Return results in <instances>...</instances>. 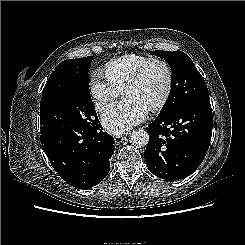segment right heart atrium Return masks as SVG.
Returning a JSON list of instances; mask_svg holds the SVG:
<instances>
[{
	"label": "right heart atrium",
	"instance_id": "1",
	"mask_svg": "<svg viewBox=\"0 0 245 245\" xmlns=\"http://www.w3.org/2000/svg\"><path fill=\"white\" fill-rule=\"evenodd\" d=\"M89 93L97 111H104L121 94L122 90L112 84L101 71H93L89 76Z\"/></svg>",
	"mask_w": 245,
	"mask_h": 245
}]
</instances>
